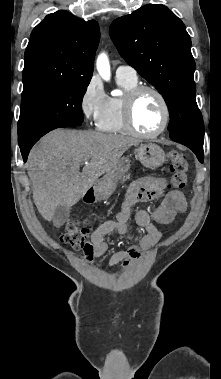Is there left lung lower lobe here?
<instances>
[{
    "label": "left lung lower lobe",
    "mask_w": 221,
    "mask_h": 379,
    "mask_svg": "<svg viewBox=\"0 0 221 379\" xmlns=\"http://www.w3.org/2000/svg\"><path fill=\"white\" fill-rule=\"evenodd\" d=\"M173 141L181 143L187 147H189L197 156L198 160L200 162H203L204 159V152L202 144H198L196 142H193L191 140L182 139V138H171Z\"/></svg>",
    "instance_id": "1"
}]
</instances>
